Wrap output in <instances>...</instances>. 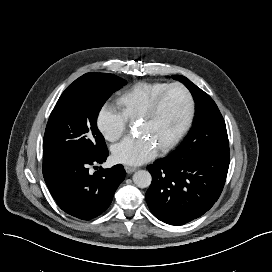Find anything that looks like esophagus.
Wrapping results in <instances>:
<instances>
[{"label": "esophagus", "mask_w": 272, "mask_h": 272, "mask_svg": "<svg viewBox=\"0 0 272 272\" xmlns=\"http://www.w3.org/2000/svg\"><path fill=\"white\" fill-rule=\"evenodd\" d=\"M125 170H126V172H127L128 174H131V173H133L134 171H136L137 168H136V167H132V166H125Z\"/></svg>", "instance_id": "34e87169"}]
</instances>
